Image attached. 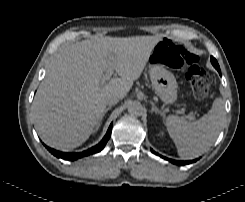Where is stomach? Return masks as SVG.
I'll return each instance as SVG.
<instances>
[{"label":"stomach","mask_w":245,"mask_h":202,"mask_svg":"<svg viewBox=\"0 0 245 202\" xmlns=\"http://www.w3.org/2000/svg\"><path fill=\"white\" fill-rule=\"evenodd\" d=\"M150 79L155 93L165 104H172L177 99V81L174 75L166 69L163 57L157 44L149 57Z\"/></svg>","instance_id":"stomach-1"}]
</instances>
